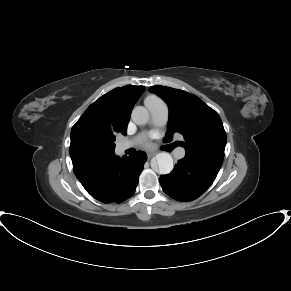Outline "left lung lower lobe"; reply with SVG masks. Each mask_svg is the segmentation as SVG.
Segmentation results:
<instances>
[{
	"label": "left lung lower lobe",
	"instance_id": "1",
	"mask_svg": "<svg viewBox=\"0 0 291 291\" xmlns=\"http://www.w3.org/2000/svg\"><path fill=\"white\" fill-rule=\"evenodd\" d=\"M221 165V161L186 154L159 181L168 196L178 201H192L211 186Z\"/></svg>",
	"mask_w": 291,
	"mask_h": 291
}]
</instances>
